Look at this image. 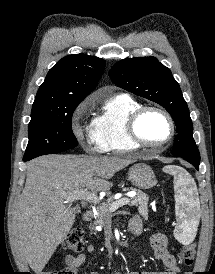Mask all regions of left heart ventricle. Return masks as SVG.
Instances as JSON below:
<instances>
[{
  "instance_id": "obj_1",
  "label": "left heart ventricle",
  "mask_w": 215,
  "mask_h": 274,
  "mask_svg": "<svg viewBox=\"0 0 215 274\" xmlns=\"http://www.w3.org/2000/svg\"><path fill=\"white\" fill-rule=\"evenodd\" d=\"M138 130L141 137L150 143H160L170 134L166 118L158 112H147L139 121Z\"/></svg>"
}]
</instances>
